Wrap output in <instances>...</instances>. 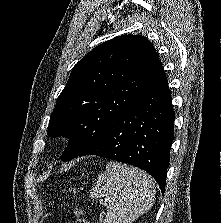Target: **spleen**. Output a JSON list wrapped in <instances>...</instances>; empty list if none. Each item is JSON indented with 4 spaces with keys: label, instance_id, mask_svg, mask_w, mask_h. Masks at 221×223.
Returning <instances> with one entry per match:
<instances>
[{
    "label": "spleen",
    "instance_id": "spleen-1",
    "mask_svg": "<svg viewBox=\"0 0 221 223\" xmlns=\"http://www.w3.org/2000/svg\"><path fill=\"white\" fill-rule=\"evenodd\" d=\"M91 197H105L107 213L103 223H132L155 202L153 179L142 170L110 161L98 175Z\"/></svg>",
    "mask_w": 221,
    "mask_h": 223
}]
</instances>
